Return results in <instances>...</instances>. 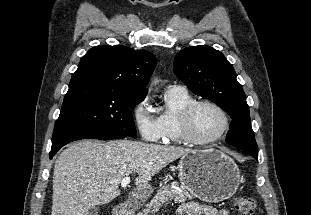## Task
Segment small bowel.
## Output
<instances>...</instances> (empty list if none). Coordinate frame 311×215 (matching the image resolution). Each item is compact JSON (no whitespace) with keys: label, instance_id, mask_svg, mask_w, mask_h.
Listing matches in <instances>:
<instances>
[{"label":"small bowel","instance_id":"obj_1","mask_svg":"<svg viewBox=\"0 0 311 215\" xmlns=\"http://www.w3.org/2000/svg\"><path fill=\"white\" fill-rule=\"evenodd\" d=\"M177 215H230L225 209L217 210L211 206L191 201L181 204L177 209Z\"/></svg>","mask_w":311,"mask_h":215}]
</instances>
